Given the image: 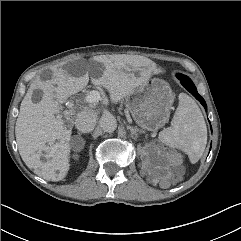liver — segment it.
I'll use <instances>...</instances> for the list:
<instances>
[{
  "label": "liver",
  "instance_id": "liver-1",
  "mask_svg": "<svg viewBox=\"0 0 241 241\" xmlns=\"http://www.w3.org/2000/svg\"><path fill=\"white\" fill-rule=\"evenodd\" d=\"M91 64L79 77L68 74L62 67L53 68L52 78L42 81L37 77L21 102L15 126L18 150L27 167L47 180H63L70 168L71 129H67L63 120L55 116L59 112V103L54 97L65 99L76 94L88 84L89 71L102 65V75L91 78V82L106 88L111 101L117 103L145 84L153 72L152 62L138 56L98 55L91 58ZM136 71H139V76L135 75ZM36 90L43 93L38 103L32 101ZM43 152L51 160L42 162Z\"/></svg>",
  "mask_w": 241,
  "mask_h": 241
}]
</instances>
